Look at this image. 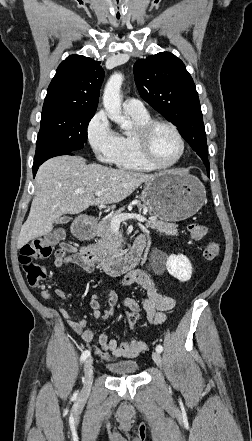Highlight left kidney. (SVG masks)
Here are the masks:
<instances>
[{"mask_svg":"<svg viewBox=\"0 0 252 441\" xmlns=\"http://www.w3.org/2000/svg\"><path fill=\"white\" fill-rule=\"evenodd\" d=\"M166 269L170 275L180 282L189 281L192 275L191 262L183 254L170 255L166 261Z\"/></svg>","mask_w":252,"mask_h":441,"instance_id":"left-kidney-1","label":"left kidney"}]
</instances>
